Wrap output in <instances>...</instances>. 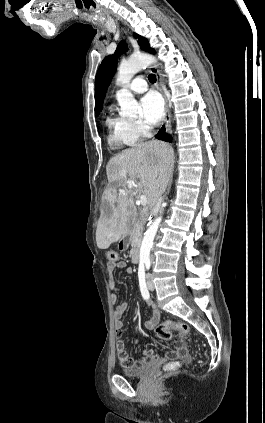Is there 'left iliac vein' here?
Returning <instances> with one entry per match:
<instances>
[{
	"label": "left iliac vein",
	"mask_w": 265,
	"mask_h": 423,
	"mask_svg": "<svg viewBox=\"0 0 265 423\" xmlns=\"http://www.w3.org/2000/svg\"><path fill=\"white\" fill-rule=\"evenodd\" d=\"M148 288H149L151 291H153V290H154V285H153V283H152V281H151V278H150V277H148Z\"/></svg>",
	"instance_id": "4c4485c4"
}]
</instances>
